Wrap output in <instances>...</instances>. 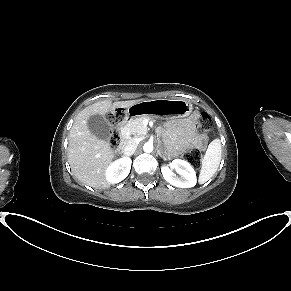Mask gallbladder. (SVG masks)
<instances>
[{"label": "gallbladder", "mask_w": 291, "mask_h": 291, "mask_svg": "<svg viewBox=\"0 0 291 291\" xmlns=\"http://www.w3.org/2000/svg\"><path fill=\"white\" fill-rule=\"evenodd\" d=\"M87 126L89 131L98 139L110 140V124L102 115H91L87 120Z\"/></svg>", "instance_id": "gallbladder-1"}]
</instances>
